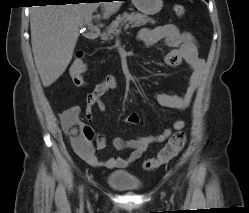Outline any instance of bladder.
<instances>
[{"label":"bladder","instance_id":"obj_1","mask_svg":"<svg viewBox=\"0 0 249 213\" xmlns=\"http://www.w3.org/2000/svg\"><path fill=\"white\" fill-rule=\"evenodd\" d=\"M107 184L121 191H136L142 185L137 176L124 170L111 172L107 177Z\"/></svg>","mask_w":249,"mask_h":213}]
</instances>
